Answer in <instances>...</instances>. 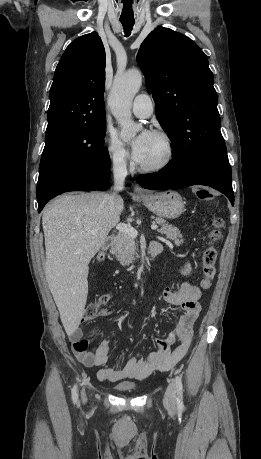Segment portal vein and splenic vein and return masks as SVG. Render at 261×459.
Returning a JSON list of instances; mask_svg holds the SVG:
<instances>
[{"label": "portal vein and splenic vein", "mask_w": 261, "mask_h": 459, "mask_svg": "<svg viewBox=\"0 0 261 459\" xmlns=\"http://www.w3.org/2000/svg\"><path fill=\"white\" fill-rule=\"evenodd\" d=\"M157 228H158V226L156 224L153 223L151 225V229L152 230H156ZM116 229L119 230L120 232L128 234L132 238H135L138 235L137 230L135 228H133L132 226L128 225V224L119 223V224H117ZM95 233H96V230H93L92 234H95Z\"/></svg>", "instance_id": "portal-vein-and-splenic-vein-1"}]
</instances>
